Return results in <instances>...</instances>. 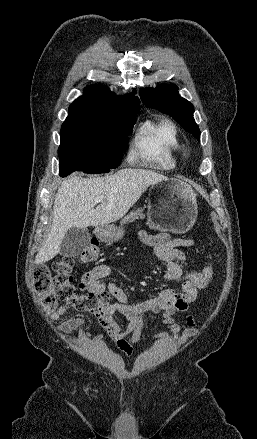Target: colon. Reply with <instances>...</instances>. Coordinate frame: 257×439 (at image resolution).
I'll return each instance as SVG.
<instances>
[{
	"mask_svg": "<svg viewBox=\"0 0 257 439\" xmlns=\"http://www.w3.org/2000/svg\"><path fill=\"white\" fill-rule=\"evenodd\" d=\"M99 256V246L96 241L86 247L80 256L83 262L94 261ZM75 261L71 257H63L52 263L51 267L38 265L33 272L35 289L38 292L43 309L53 313L59 302L79 311L93 314L102 313L116 298L106 291L94 292L78 287L72 275ZM213 276L211 264L201 271L186 272L180 281L190 282L197 288H203Z\"/></svg>",
	"mask_w": 257,
	"mask_h": 439,
	"instance_id": "1",
	"label": "colon"
}]
</instances>
